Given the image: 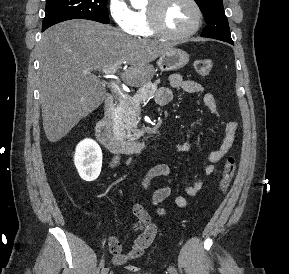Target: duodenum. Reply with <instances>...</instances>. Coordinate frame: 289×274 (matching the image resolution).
<instances>
[{
    "instance_id": "obj_1",
    "label": "duodenum",
    "mask_w": 289,
    "mask_h": 274,
    "mask_svg": "<svg viewBox=\"0 0 289 274\" xmlns=\"http://www.w3.org/2000/svg\"><path fill=\"white\" fill-rule=\"evenodd\" d=\"M115 100L111 94L105 99V107L102 116L96 123V136L98 141L111 153L114 154H135L141 153L149 148L152 143L158 140L161 133L157 134L150 141H128L115 136L113 132V116Z\"/></svg>"
}]
</instances>
